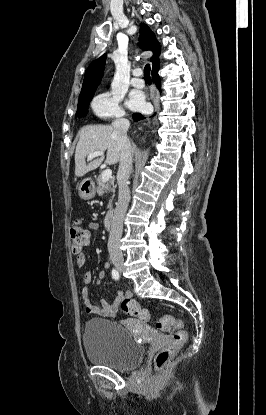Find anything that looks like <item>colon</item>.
<instances>
[{
	"label": "colon",
	"mask_w": 266,
	"mask_h": 415,
	"mask_svg": "<svg viewBox=\"0 0 266 415\" xmlns=\"http://www.w3.org/2000/svg\"><path fill=\"white\" fill-rule=\"evenodd\" d=\"M69 237L73 252L79 253L89 242V231L79 221H76L70 228ZM121 306L126 314L137 317L142 321L147 322L151 318L149 310L142 308L131 298H125ZM157 328L164 332H172L170 342L158 351L154 359L155 366L162 368L185 344L187 331L184 329L182 320L168 314L161 316L157 322Z\"/></svg>",
	"instance_id": "obj_1"
}]
</instances>
